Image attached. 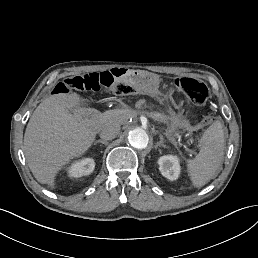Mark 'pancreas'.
<instances>
[{
  "label": "pancreas",
  "mask_w": 258,
  "mask_h": 258,
  "mask_svg": "<svg viewBox=\"0 0 258 258\" xmlns=\"http://www.w3.org/2000/svg\"><path fill=\"white\" fill-rule=\"evenodd\" d=\"M145 115L147 118H151L161 122L163 125H167L166 136L174 140V132L176 131V126H170L173 123V120L170 117L164 116L162 113H158L157 111L147 109L145 110L143 107H139L136 109H118L115 113L109 112L108 118H103L104 121H109L111 123L118 124L119 122H125L128 118H136L139 116Z\"/></svg>",
  "instance_id": "obj_1"
}]
</instances>
